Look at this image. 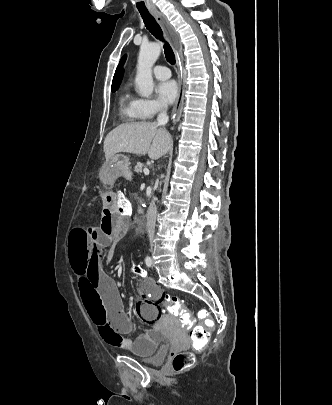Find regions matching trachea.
Returning <instances> with one entry per match:
<instances>
[{
  "label": "trachea",
  "mask_w": 332,
  "mask_h": 405,
  "mask_svg": "<svg viewBox=\"0 0 332 405\" xmlns=\"http://www.w3.org/2000/svg\"><path fill=\"white\" fill-rule=\"evenodd\" d=\"M141 17L144 21V24L146 28L149 30V32L154 35L157 39L163 40V32L155 18L149 13L148 10H139ZM164 54L167 59V61L174 65L175 64V54L170 46V44L166 41H164Z\"/></svg>",
  "instance_id": "3493384b"
}]
</instances>
